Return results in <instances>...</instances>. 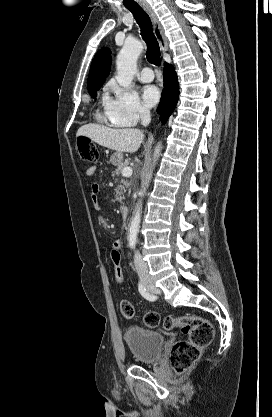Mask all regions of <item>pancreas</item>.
<instances>
[{
  "label": "pancreas",
  "mask_w": 272,
  "mask_h": 417,
  "mask_svg": "<svg viewBox=\"0 0 272 417\" xmlns=\"http://www.w3.org/2000/svg\"><path fill=\"white\" fill-rule=\"evenodd\" d=\"M128 164L129 161L120 163L117 166L115 172L112 174V176H119L122 173V170L128 166ZM129 185L130 184L126 179H121L120 184L117 186L115 198L119 203H122V201L124 200L125 187H129Z\"/></svg>",
  "instance_id": "pancreas-1"
}]
</instances>
